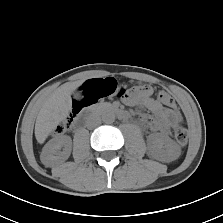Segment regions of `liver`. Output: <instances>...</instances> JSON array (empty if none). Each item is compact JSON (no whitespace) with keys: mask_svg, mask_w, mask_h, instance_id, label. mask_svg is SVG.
<instances>
[{"mask_svg":"<svg viewBox=\"0 0 223 223\" xmlns=\"http://www.w3.org/2000/svg\"><path fill=\"white\" fill-rule=\"evenodd\" d=\"M81 83H65L44 101L35 123V137L38 143H44L59 123L68 117L72 109L71 94Z\"/></svg>","mask_w":223,"mask_h":223,"instance_id":"liver-1","label":"liver"}]
</instances>
